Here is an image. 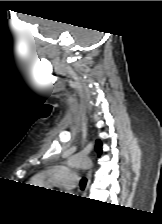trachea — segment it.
<instances>
[{
    "instance_id": "1",
    "label": "trachea",
    "mask_w": 162,
    "mask_h": 224,
    "mask_svg": "<svg viewBox=\"0 0 162 224\" xmlns=\"http://www.w3.org/2000/svg\"><path fill=\"white\" fill-rule=\"evenodd\" d=\"M86 183H87V181H86L85 178H83V179L80 181V187H81L82 190L85 188Z\"/></svg>"
}]
</instances>
